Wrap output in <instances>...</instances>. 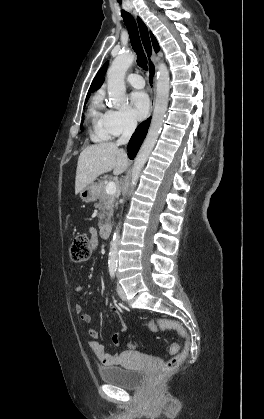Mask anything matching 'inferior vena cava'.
Wrapping results in <instances>:
<instances>
[{"label": "inferior vena cava", "mask_w": 264, "mask_h": 419, "mask_svg": "<svg viewBox=\"0 0 264 419\" xmlns=\"http://www.w3.org/2000/svg\"><path fill=\"white\" fill-rule=\"evenodd\" d=\"M137 126V122L133 118H129L124 126L123 133L121 137L117 140L116 144L119 145H125L129 142L133 132L135 131Z\"/></svg>", "instance_id": "1"}]
</instances>
